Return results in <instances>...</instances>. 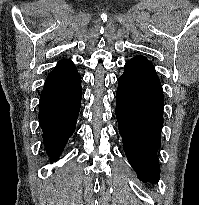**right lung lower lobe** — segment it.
Segmentation results:
<instances>
[{"label": "right lung lower lobe", "mask_w": 199, "mask_h": 205, "mask_svg": "<svg viewBox=\"0 0 199 205\" xmlns=\"http://www.w3.org/2000/svg\"><path fill=\"white\" fill-rule=\"evenodd\" d=\"M81 98V76L77 70L48 75L40 95L38 118L44 147L51 160L60 156L75 131Z\"/></svg>", "instance_id": "obj_1"}]
</instances>
